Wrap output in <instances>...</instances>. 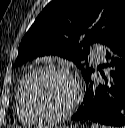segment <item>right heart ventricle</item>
<instances>
[{"instance_id": "1", "label": "right heart ventricle", "mask_w": 125, "mask_h": 128, "mask_svg": "<svg viewBox=\"0 0 125 128\" xmlns=\"http://www.w3.org/2000/svg\"><path fill=\"white\" fill-rule=\"evenodd\" d=\"M27 74H25L16 89V111L19 119L25 124H37L40 121L36 120L27 110L23 100V84Z\"/></svg>"}]
</instances>
